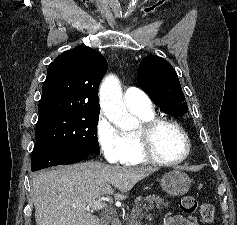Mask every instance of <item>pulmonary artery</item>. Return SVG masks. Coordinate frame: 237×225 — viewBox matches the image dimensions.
<instances>
[{
	"label": "pulmonary artery",
	"instance_id": "e3ab8cb5",
	"mask_svg": "<svg viewBox=\"0 0 237 225\" xmlns=\"http://www.w3.org/2000/svg\"><path fill=\"white\" fill-rule=\"evenodd\" d=\"M124 101L130 110L148 112L152 109L148 95L137 87L131 86L125 90Z\"/></svg>",
	"mask_w": 237,
	"mask_h": 225
}]
</instances>
